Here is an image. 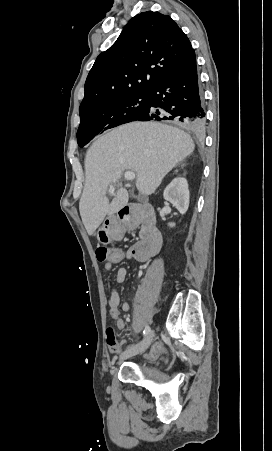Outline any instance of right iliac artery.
Here are the masks:
<instances>
[{
  "mask_svg": "<svg viewBox=\"0 0 272 451\" xmlns=\"http://www.w3.org/2000/svg\"><path fill=\"white\" fill-rule=\"evenodd\" d=\"M149 332H150V327L147 326V327L144 329L143 334L146 335V334H148Z\"/></svg>",
  "mask_w": 272,
  "mask_h": 451,
  "instance_id": "right-iliac-artery-1",
  "label": "right iliac artery"
}]
</instances>
